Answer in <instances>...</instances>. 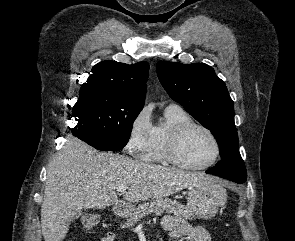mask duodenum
Returning <instances> with one entry per match:
<instances>
[{"instance_id":"duodenum-1","label":"duodenum","mask_w":295,"mask_h":241,"mask_svg":"<svg viewBox=\"0 0 295 241\" xmlns=\"http://www.w3.org/2000/svg\"><path fill=\"white\" fill-rule=\"evenodd\" d=\"M125 209H126V206L122 202L115 203L113 205V211H114L115 215H117V216L123 215L125 212Z\"/></svg>"}]
</instances>
